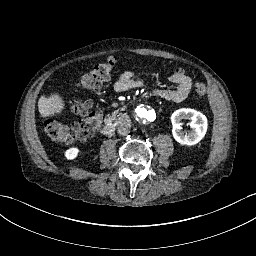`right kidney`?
Instances as JSON below:
<instances>
[{"label":"right kidney","instance_id":"1","mask_svg":"<svg viewBox=\"0 0 256 256\" xmlns=\"http://www.w3.org/2000/svg\"><path fill=\"white\" fill-rule=\"evenodd\" d=\"M78 148H70L68 149L66 152H65V157L68 159V160H72V159H75L78 155Z\"/></svg>","mask_w":256,"mask_h":256}]
</instances>
